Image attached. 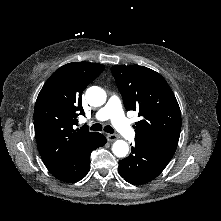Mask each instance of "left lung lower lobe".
<instances>
[{
    "instance_id": "obj_1",
    "label": "left lung lower lobe",
    "mask_w": 221,
    "mask_h": 221,
    "mask_svg": "<svg viewBox=\"0 0 221 221\" xmlns=\"http://www.w3.org/2000/svg\"><path fill=\"white\" fill-rule=\"evenodd\" d=\"M173 155L156 149L146 142L135 140L131 154L119 161L118 171L129 183L140 185L156 178Z\"/></svg>"
}]
</instances>
